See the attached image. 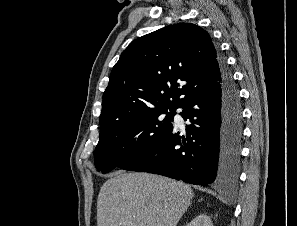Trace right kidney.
Listing matches in <instances>:
<instances>
[{
  "instance_id": "ca27d5eb",
  "label": "right kidney",
  "mask_w": 297,
  "mask_h": 226,
  "mask_svg": "<svg viewBox=\"0 0 297 226\" xmlns=\"http://www.w3.org/2000/svg\"><path fill=\"white\" fill-rule=\"evenodd\" d=\"M186 226H213V223L205 214H200L197 217H195L190 223H188Z\"/></svg>"
}]
</instances>
